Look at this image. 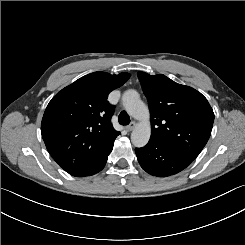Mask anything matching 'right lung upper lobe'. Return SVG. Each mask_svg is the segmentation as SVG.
Wrapping results in <instances>:
<instances>
[{
	"instance_id": "1",
	"label": "right lung upper lobe",
	"mask_w": 245,
	"mask_h": 245,
	"mask_svg": "<svg viewBox=\"0 0 245 245\" xmlns=\"http://www.w3.org/2000/svg\"><path fill=\"white\" fill-rule=\"evenodd\" d=\"M129 73L94 72L58 92L41 123L45 145L65 171L80 176L107 157L120 134L111 124L114 106L108 94L122 86Z\"/></svg>"
}]
</instances>
